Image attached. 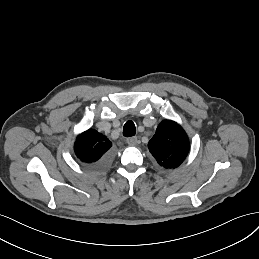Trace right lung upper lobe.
Listing matches in <instances>:
<instances>
[{
    "label": "right lung upper lobe",
    "instance_id": "1",
    "mask_svg": "<svg viewBox=\"0 0 259 259\" xmlns=\"http://www.w3.org/2000/svg\"><path fill=\"white\" fill-rule=\"evenodd\" d=\"M111 146V141L105 135L89 129L76 138L74 152L81 162L91 164L100 160Z\"/></svg>",
    "mask_w": 259,
    "mask_h": 259
}]
</instances>
